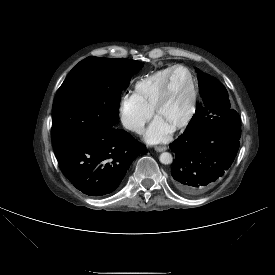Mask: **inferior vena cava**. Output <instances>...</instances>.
<instances>
[{
	"label": "inferior vena cava",
	"mask_w": 275,
	"mask_h": 275,
	"mask_svg": "<svg viewBox=\"0 0 275 275\" xmlns=\"http://www.w3.org/2000/svg\"><path fill=\"white\" fill-rule=\"evenodd\" d=\"M129 128L138 131V130H140L142 128V125H140V124H134V125L129 126Z\"/></svg>",
	"instance_id": "obj_1"
}]
</instances>
